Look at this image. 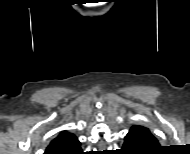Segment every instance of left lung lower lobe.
<instances>
[{"label":"left lung lower lobe","instance_id":"left-lung-lower-lobe-1","mask_svg":"<svg viewBox=\"0 0 190 154\" xmlns=\"http://www.w3.org/2000/svg\"><path fill=\"white\" fill-rule=\"evenodd\" d=\"M158 140L152 135L148 128L135 125L125 137L123 150L129 154H143V151L158 147Z\"/></svg>","mask_w":190,"mask_h":154}]
</instances>
